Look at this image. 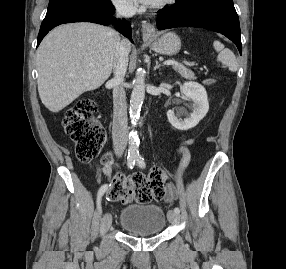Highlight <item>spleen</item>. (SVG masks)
<instances>
[{
  "label": "spleen",
  "instance_id": "obj_1",
  "mask_svg": "<svg viewBox=\"0 0 286 269\" xmlns=\"http://www.w3.org/2000/svg\"><path fill=\"white\" fill-rule=\"evenodd\" d=\"M213 46L215 50L219 52L217 57L218 61L226 65L230 71L236 72L238 69V63L233 52L230 49L225 48L219 41H214Z\"/></svg>",
  "mask_w": 286,
  "mask_h": 269
}]
</instances>
